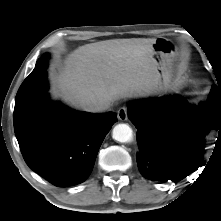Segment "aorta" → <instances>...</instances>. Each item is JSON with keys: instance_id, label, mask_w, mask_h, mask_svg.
<instances>
[{"instance_id": "aorta-1", "label": "aorta", "mask_w": 221, "mask_h": 221, "mask_svg": "<svg viewBox=\"0 0 221 221\" xmlns=\"http://www.w3.org/2000/svg\"><path fill=\"white\" fill-rule=\"evenodd\" d=\"M112 137L121 143H128L133 140V130L128 124H118L113 128Z\"/></svg>"}]
</instances>
